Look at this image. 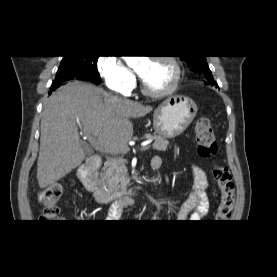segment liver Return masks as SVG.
I'll use <instances>...</instances> for the list:
<instances>
[{"instance_id":"obj_1","label":"liver","mask_w":277,"mask_h":277,"mask_svg":"<svg viewBox=\"0 0 277 277\" xmlns=\"http://www.w3.org/2000/svg\"><path fill=\"white\" fill-rule=\"evenodd\" d=\"M152 106L111 96L84 82L60 87L46 101L41 118L37 180L41 189L57 182L85 159L78 127L110 153L128 149L130 118L144 117Z\"/></svg>"}]
</instances>
